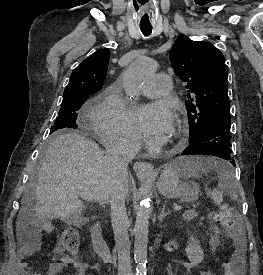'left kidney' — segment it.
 I'll return each mask as SVG.
<instances>
[{
  "instance_id": "5707ae66",
  "label": "left kidney",
  "mask_w": 263,
  "mask_h": 275,
  "mask_svg": "<svg viewBox=\"0 0 263 275\" xmlns=\"http://www.w3.org/2000/svg\"><path fill=\"white\" fill-rule=\"evenodd\" d=\"M186 255L190 263H184V267L190 269L203 261L204 253L199 244V241L191 236L188 241V245L185 248Z\"/></svg>"
}]
</instances>
